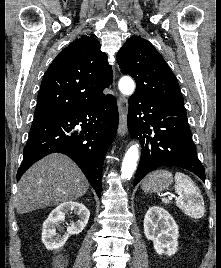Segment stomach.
<instances>
[{
  "mask_svg": "<svg viewBox=\"0 0 221 268\" xmlns=\"http://www.w3.org/2000/svg\"><path fill=\"white\" fill-rule=\"evenodd\" d=\"M173 181L172 174L166 170H157L148 175L142 182L145 192H161L167 189Z\"/></svg>",
  "mask_w": 221,
  "mask_h": 268,
  "instance_id": "obj_1",
  "label": "stomach"
}]
</instances>
